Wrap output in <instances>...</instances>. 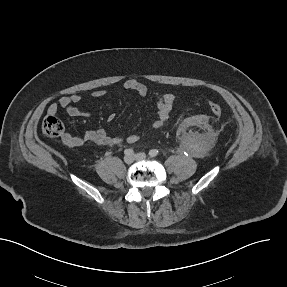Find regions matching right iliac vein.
<instances>
[{"mask_svg":"<svg viewBox=\"0 0 287 287\" xmlns=\"http://www.w3.org/2000/svg\"><path fill=\"white\" fill-rule=\"evenodd\" d=\"M134 160H135V158H134V156H132V155H126V156L124 157V162H125L126 164H132V163L134 162Z\"/></svg>","mask_w":287,"mask_h":287,"instance_id":"63e3f726","label":"right iliac vein"}]
</instances>
